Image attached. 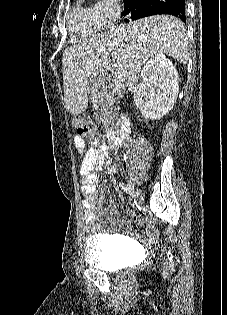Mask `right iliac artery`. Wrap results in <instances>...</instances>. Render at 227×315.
I'll return each instance as SVG.
<instances>
[{"label":"right iliac artery","mask_w":227,"mask_h":315,"mask_svg":"<svg viewBox=\"0 0 227 315\" xmlns=\"http://www.w3.org/2000/svg\"><path fill=\"white\" fill-rule=\"evenodd\" d=\"M119 186H120L126 193H128L129 195H131L132 197L135 196V191H134L133 186L128 185V184H125V183H123V182H120V183H119Z\"/></svg>","instance_id":"right-iliac-artery-1"}]
</instances>
